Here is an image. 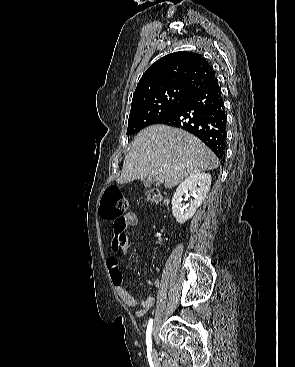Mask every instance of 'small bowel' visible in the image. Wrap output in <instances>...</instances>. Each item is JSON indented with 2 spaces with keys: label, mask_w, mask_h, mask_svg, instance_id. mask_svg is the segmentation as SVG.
Segmentation results:
<instances>
[{
  "label": "small bowel",
  "mask_w": 295,
  "mask_h": 367,
  "mask_svg": "<svg viewBox=\"0 0 295 367\" xmlns=\"http://www.w3.org/2000/svg\"><path fill=\"white\" fill-rule=\"evenodd\" d=\"M138 223V217L134 212L125 213L119 221L113 222V239L111 243V250L113 253H117L127 228L135 226ZM106 265L110 273L111 280L115 287L116 293L119 298L127 305L136 308V315L138 317L144 316L154 305L155 297L149 296L143 300H138L132 296L124 286V278L118 267L117 258L112 255L106 260ZM148 285L158 287L160 282L158 279L147 280Z\"/></svg>",
  "instance_id": "1"
}]
</instances>
